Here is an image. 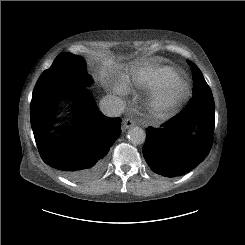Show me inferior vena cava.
Listing matches in <instances>:
<instances>
[{
    "label": "inferior vena cava",
    "mask_w": 245,
    "mask_h": 245,
    "mask_svg": "<svg viewBox=\"0 0 245 245\" xmlns=\"http://www.w3.org/2000/svg\"><path fill=\"white\" fill-rule=\"evenodd\" d=\"M99 105L102 113L108 117H119L125 109L124 102L112 95L103 97Z\"/></svg>",
    "instance_id": "inferior-vena-cava-1"
}]
</instances>
